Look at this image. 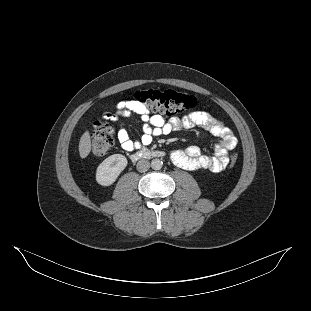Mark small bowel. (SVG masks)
Listing matches in <instances>:
<instances>
[{
	"mask_svg": "<svg viewBox=\"0 0 311 311\" xmlns=\"http://www.w3.org/2000/svg\"><path fill=\"white\" fill-rule=\"evenodd\" d=\"M132 114L138 115L143 123L140 139L132 140L128 131L123 127L118 130L116 137L117 143L128 152L151 144L156 137L168 135L183 128H203L218 138L212 156L203 155L196 146L172 151L173 163L186 170L207 169L214 173L222 172L229 162L228 152L237 144L234 133L221 121L204 111L192 112L182 119H165L161 115L152 114L145 105L136 100H126L117 104L115 113H105L104 118L119 122L122 118H127Z\"/></svg>",
	"mask_w": 311,
	"mask_h": 311,
	"instance_id": "small-bowel-1",
	"label": "small bowel"
}]
</instances>
